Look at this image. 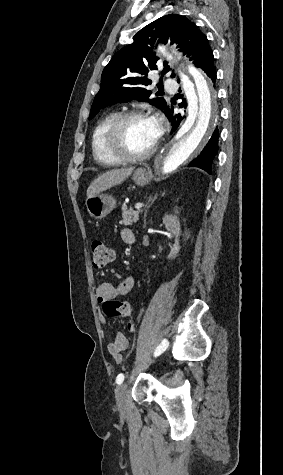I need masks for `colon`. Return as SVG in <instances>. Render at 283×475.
Listing matches in <instances>:
<instances>
[{"label": "colon", "instance_id": "obj_1", "mask_svg": "<svg viewBox=\"0 0 283 475\" xmlns=\"http://www.w3.org/2000/svg\"><path fill=\"white\" fill-rule=\"evenodd\" d=\"M92 258L95 267H104L112 258V250L104 242L95 241L92 244ZM102 312L104 314L121 315L126 321L127 330L129 332H134L135 323L129 313L130 307L128 303H106V305L102 307Z\"/></svg>", "mask_w": 283, "mask_h": 475}]
</instances>
